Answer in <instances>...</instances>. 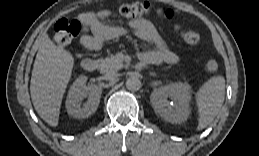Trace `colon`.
I'll list each match as a JSON object with an SVG mask.
<instances>
[{
	"instance_id": "colon-1",
	"label": "colon",
	"mask_w": 259,
	"mask_h": 156,
	"mask_svg": "<svg viewBox=\"0 0 259 156\" xmlns=\"http://www.w3.org/2000/svg\"><path fill=\"white\" fill-rule=\"evenodd\" d=\"M120 15L126 18H140L143 16H155L157 18L166 19L168 21H176L178 13L172 8L154 9L147 2H135L123 4L118 8ZM82 24L78 20L61 19L54 26V41L63 48L70 45L79 35ZM183 40L187 43L194 44L200 39L198 32L193 30H185L181 34ZM204 68L207 73H214L218 69V63L214 59L206 60Z\"/></svg>"
}]
</instances>
